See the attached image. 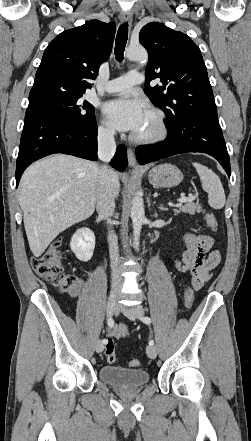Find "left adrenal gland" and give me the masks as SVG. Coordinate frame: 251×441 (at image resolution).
<instances>
[{"label":"left adrenal gland","mask_w":251,"mask_h":441,"mask_svg":"<svg viewBox=\"0 0 251 441\" xmlns=\"http://www.w3.org/2000/svg\"><path fill=\"white\" fill-rule=\"evenodd\" d=\"M159 209L162 210V211H166L167 210V208H163V206H160Z\"/></svg>","instance_id":"obj_1"}]
</instances>
